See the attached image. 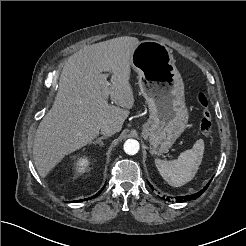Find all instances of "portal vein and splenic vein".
I'll list each match as a JSON object with an SVG mask.
<instances>
[{
	"mask_svg": "<svg viewBox=\"0 0 246 246\" xmlns=\"http://www.w3.org/2000/svg\"><path fill=\"white\" fill-rule=\"evenodd\" d=\"M106 76H108V75H106ZM109 85H110V83L108 81H105V83H104V89H105L106 92L109 89Z\"/></svg>",
	"mask_w": 246,
	"mask_h": 246,
	"instance_id": "obj_1",
	"label": "portal vein and splenic vein"
}]
</instances>
